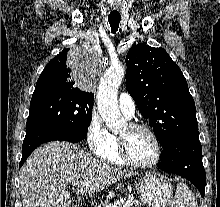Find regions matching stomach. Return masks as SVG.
Segmentation results:
<instances>
[{"label":"stomach","instance_id":"1","mask_svg":"<svg viewBox=\"0 0 220 207\" xmlns=\"http://www.w3.org/2000/svg\"><path fill=\"white\" fill-rule=\"evenodd\" d=\"M135 186L143 203L149 207H167L172 199V185L160 174L148 173Z\"/></svg>","mask_w":220,"mask_h":207}]
</instances>
